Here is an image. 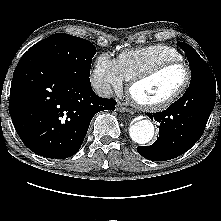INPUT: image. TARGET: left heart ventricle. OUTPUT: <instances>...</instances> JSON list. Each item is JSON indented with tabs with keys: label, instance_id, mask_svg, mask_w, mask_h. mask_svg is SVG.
<instances>
[{
	"label": "left heart ventricle",
	"instance_id": "obj_1",
	"mask_svg": "<svg viewBox=\"0 0 221 221\" xmlns=\"http://www.w3.org/2000/svg\"><path fill=\"white\" fill-rule=\"evenodd\" d=\"M183 66L169 67L134 88V95L144 103H158L173 95L184 83Z\"/></svg>",
	"mask_w": 221,
	"mask_h": 221
}]
</instances>
